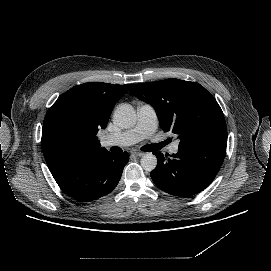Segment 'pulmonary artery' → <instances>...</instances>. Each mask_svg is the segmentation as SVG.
I'll use <instances>...</instances> for the list:
<instances>
[{
  "label": "pulmonary artery",
  "mask_w": 271,
  "mask_h": 271,
  "mask_svg": "<svg viewBox=\"0 0 271 271\" xmlns=\"http://www.w3.org/2000/svg\"><path fill=\"white\" fill-rule=\"evenodd\" d=\"M158 119L150 104L142 103L137 108L136 123L127 130L116 134H107L100 138L103 147H126L150 137L157 129ZM179 141L169 146L171 154L178 153Z\"/></svg>",
  "instance_id": "e3ab8cb5"
}]
</instances>
